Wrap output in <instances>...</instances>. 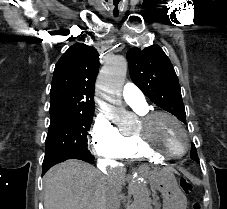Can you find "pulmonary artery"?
<instances>
[{"instance_id":"pulmonary-artery-1","label":"pulmonary artery","mask_w":227,"mask_h":209,"mask_svg":"<svg viewBox=\"0 0 227 209\" xmlns=\"http://www.w3.org/2000/svg\"><path fill=\"white\" fill-rule=\"evenodd\" d=\"M141 88H136V84L128 82L123 89V99L136 109H144L147 106L144 95H140Z\"/></svg>"}]
</instances>
